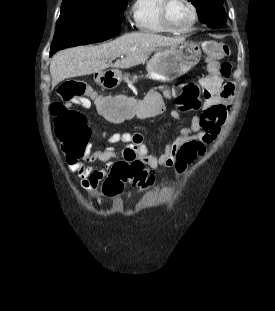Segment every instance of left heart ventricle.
<instances>
[{
	"label": "left heart ventricle",
	"instance_id": "b2bd125f",
	"mask_svg": "<svg viewBox=\"0 0 275 311\" xmlns=\"http://www.w3.org/2000/svg\"><path fill=\"white\" fill-rule=\"evenodd\" d=\"M168 16L171 24L178 29L186 27L192 19V11L185 0H173Z\"/></svg>",
	"mask_w": 275,
	"mask_h": 311
}]
</instances>
